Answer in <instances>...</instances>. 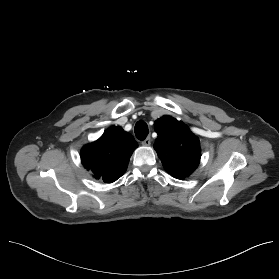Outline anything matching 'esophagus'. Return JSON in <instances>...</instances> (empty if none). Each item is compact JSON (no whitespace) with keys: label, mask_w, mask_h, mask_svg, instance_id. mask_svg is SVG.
I'll list each match as a JSON object with an SVG mask.
<instances>
[{"label":"esophagus","mask_w":279,"mask_h":279,"mask_svg":"<svg viewBox=\"0 0 279 279\" xmlns=\"http://www.w3.org/2000/svg\"><path fill=\"white\" fill-rule=\"evenodd\" d=\"M151 144V138L147 137L145 140L142 141V145L149 146Z\"/></svg>","instance_id":"obj_1"}]
</instances>
